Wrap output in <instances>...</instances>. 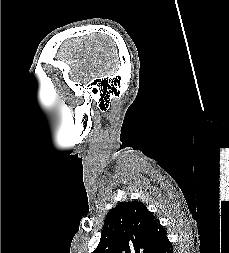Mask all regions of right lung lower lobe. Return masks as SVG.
Segmentation results:
<instances>
[{"mask_svg": "<svg viewBox=\"0 0 229 253\" xmlns=\"http://www.w3.org/2000/svg\"><path fill=\"white\" fill-rule=\"evenodd\" d=\"M155 253H173V246L167 240L164 244H162Z\"/></svg>", "mask_w": 229, "mask_h": 253, "instance_id": "98d812e1", "label": "right lung lower lobe"}]
</instances>
